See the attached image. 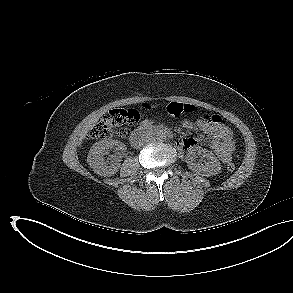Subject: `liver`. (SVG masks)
Listing matches in <instances>:
<instances>
[{"instance_id":"6515ba94","label":"liver","mask_w":293,"mask_h":293,"mask_svg":"<svg viewBox=\"0 0 293 293\" xmlns=\"http://www.w3.org/2000/svg\"><path fill=\"white\" fill-rule=\"evenodd\" d=\"M106 112V110L99 111L98 113L92 114L83 125L80 133H79V145H81L82 141L85 139L88 131L93 128V126L97 123L100 117Z\"/></svg>"}]
</instances>
